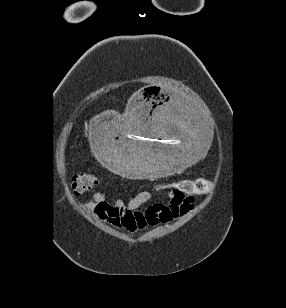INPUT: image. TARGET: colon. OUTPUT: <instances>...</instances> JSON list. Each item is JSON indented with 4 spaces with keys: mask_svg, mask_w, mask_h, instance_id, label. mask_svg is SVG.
<instances>
[{
    "mask_svg": "<svg viewBox=\"0 0 286 308\" xmlns=\"http://www.w3.org/2000/svg\"><path fill=\"white\" fill-rule=\"evenodd\" d=\"M98 183V177L93 173L74 174L71 177V188L77 193L91 190ZM181 191L197 194L209 192L212 189L211 181L207 179H185L173 184Z\"/></svg>",
    "mask_w": 286,
    "mask_h": 308,
    "instance_id": "1",
    "label": "colon"
}]
</instances>
